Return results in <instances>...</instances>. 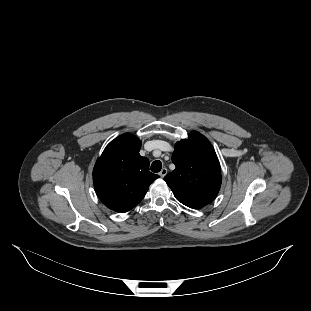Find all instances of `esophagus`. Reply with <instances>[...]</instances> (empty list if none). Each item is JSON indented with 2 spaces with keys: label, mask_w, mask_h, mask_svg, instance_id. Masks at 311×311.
I'll list each match as a JSON object with an SVG mask.
<instances>
[{
  "label": "esophagus",
  "mask_w": 311,
  "mask_h": 311,
  "mask_svg": "<svg viewBox=\"0 0 311 311\" xmlns=\"http://www.w3.org/2000/svg\"><path fill=\"white\" fill-rule=\"evenodd\" d=\"M168 170L167 168H163L161 169V171L159 172L160 177H164L167 174Z\"/></svg>",
  "instance_id": "1"
}]
</instances>
